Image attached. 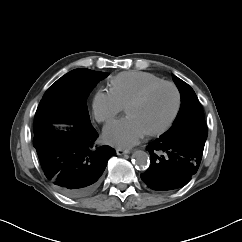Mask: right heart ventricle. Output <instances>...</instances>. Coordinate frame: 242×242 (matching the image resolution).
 <instances>
[{"label": "right heart ventricle", "instance_id": "obj_1", "mask_svg": "<svg viewBox=\"0 0 242 242\" xmlns=\"http://www.w3.org/2000/svg\"><path fill=\"white\" fill-rule=\"evenodd\" d=\"M159 81H161L159 77L147 72H122L111 79V90L123 105H127L143 89Z\"/></svg>", "mask_w": 242, "mask_h": 242}]
</instances>
